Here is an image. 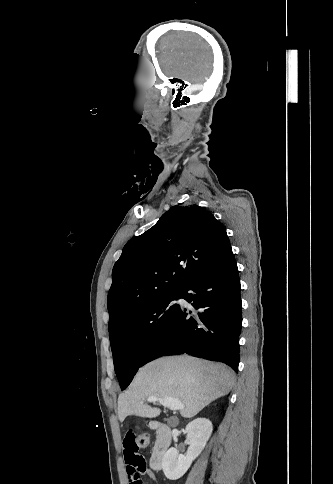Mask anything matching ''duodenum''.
<instances>
[{"label": "duodenum", "mask_w": 333, "mask_h": 484, "mask_svg": "<svg viewBox=\"0 0 333 484\" xmlns=\"http://www.w3.org/2000/svg\"><path fill=\"white\" fill-rule=\"evenodd\" d=\"M150 427L157 433V440L150 457V467L158 471L162 469L163 457L172 442L173 432L167 424L158 421H152Z\"/></svg>", "instance_id": "obj_1"}]
</instances>
